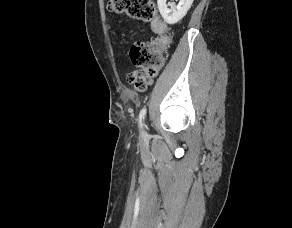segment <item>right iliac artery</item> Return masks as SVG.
I'll list each match as a JSON object with an SVG mask.
<instances>
[{
	"label": "right iliac artery",
	"mask_w": 292,
	"mask_h": 228,
	"mask_svg": "<svg viewBox=\"0 0 292 228\" xmlns=\"http://www.w3.org/2000/svg\"><path fill=\"white\" fill-rule=\"evenodd\" d=\"M145 115H146V109L143 108L141 111H140V114H139V126L140 128L143 126V120L145 118Z\"/></svg>",
	"instance_id": "obj_1"
}]
</instances>
